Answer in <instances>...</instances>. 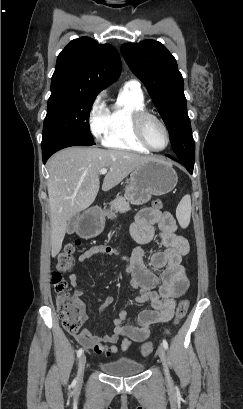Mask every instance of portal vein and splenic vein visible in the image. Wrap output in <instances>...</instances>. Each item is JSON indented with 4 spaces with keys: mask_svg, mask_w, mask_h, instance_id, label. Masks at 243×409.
Returning a JSON list of instances; mask_svg holds the SVG:
<instances>
[{
    "mask_svg": "<svg viewBox=\"0 0 243 409\" xmlns=\"http://www.w3.org/2000/svg\"><path fill=\"white\" fill-rule=\"evenodd\" d=\"M107 171H108V169H107V168H102V169L100 170V175H104V174H106V173H107Z\"/></svg>",
    "mask_w": 243,
    "mask_h": 409,
    "instance_id": "1",
    "label": "portal vein and splenic vein"
}]
</instances>
